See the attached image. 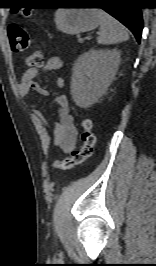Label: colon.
Wrapping results in <instances>:
<instances>
[{"label":"colon","instance_id":"5ec220e1","mask_svg":"<svg viewBox=\"0 0 156 266\" xmlns=\"http://www.w3.org/2000/svg\"><path fill=\"white\" fill-rule=\"evenodd\" d=\"M24 16L29 17L30 12L25 11ZM10 46L13 52H23L30 48L32 39L29 33L22 27L12 24L7 29ZM43 55L40 51H34L26 59V65L34 68L41 65ZM83 132L81 134L82 146L79 150L72 151L71 155L62 160H56L52 163V169L69 170L91 157L95 145V135L92 131L93 123L90 119L82 120Z\"/></svg>","mask_w":156,"mask_h":266}]
</instances>
